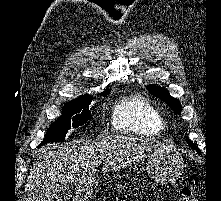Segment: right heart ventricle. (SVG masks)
Wrapping results in <instances>:
<instances>
[{
	"label": "right heart ventricle",
	"instance_id": "obj_1",
	"mask_svg": "<svg viewBox=\"0 0 221 201\" xmlns=\"http://www.w3.org/2000/svg\"><path fill=\"white\" fill-rule=\"evenodd\" d=\"M115 130L140 136H159L165 121L161 112L141 95H131L118 101L113 109Z\"/></svg>",
	"mask_w": 221,
	"mask_h": 201
}]
</instances>
